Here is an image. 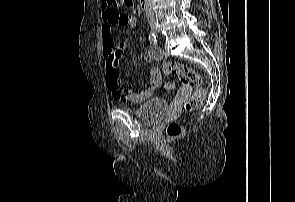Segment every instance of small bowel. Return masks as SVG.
Returning a JSON list of instances; mask_svg holds the SVG:
<instances>
[{
	"mask_svg": "<svg viewBox=\"0 0 295 202\" xmlns=\"http://www.w3.org/2000/svg\"><path fill=\"white\" fill-rule=\"evenodd\" d=\"M101 10L103 58L105 61L106 81L109 90L114 98L124 100L132 104L140 103L152 98L162 83L161 73L158 69H152L150 75V86L144 91L135 92L121 87L119 77V60L127 48V43L120 42L115 44L112 38V28L115 25H121L120 18L124 14H121L116 8L110 6L107 0L102 1ZM127 16L129 18V26L131 28L136 27L138 24L137 17L133 14ZM163 56L164 53L161 50L156 47H152L146 53V60L148 62H152ZM184 98H190L189 85H180L178 98H175V102H171V107H181V103H184Z\"/></svg>",
	"mask_w": 295,
	"mask_h": 202,
	"instance_id": "c3829d8e",
	"label": "small bowel"
}]
</instances>
